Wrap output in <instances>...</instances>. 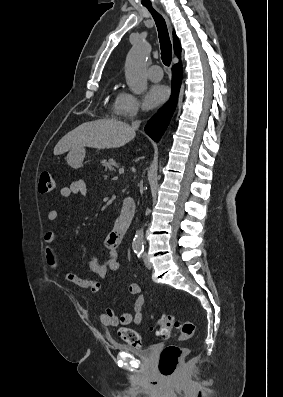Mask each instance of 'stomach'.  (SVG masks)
Segmentation results:
<instances>
[{
    "mask_svg": "<svg viewBox=\"0 0 283 397\" xmlns=\"http://www.w3.org/2000/svg\"><path fill=\"white\" fill-rule=\"evenodd\" d=\"M85 149L79 148L75 150H70L67 155V162L72 168H80L83 165V160L85 157Z\"/></svg>",
    "mask_w": 283,
    "mask_h": 397,
    "instance_id": "obj_1",
    "label": "stomach"
}]
</instances>
